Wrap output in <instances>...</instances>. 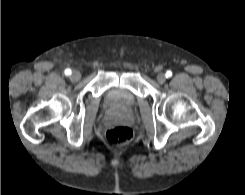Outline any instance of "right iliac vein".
I'll return each mask as SVG.
<instances>
[{
  "label": "right iliac vein",
  "mask_w": 245,
  "mask_h": 195,
  "mask_svg": "<svg viewBox=\"0 0 245 195\" xmlns=\"http://www.w3.org/2000/svg\"><path fill=\"white\" fill-rule=\"evenodd\" d=\"M70 78L72 81H75V82L79 81L81 78V73L79 71H73Z\"/></svg>",
  "instance_id": "obj_1"
}]
</instances>
